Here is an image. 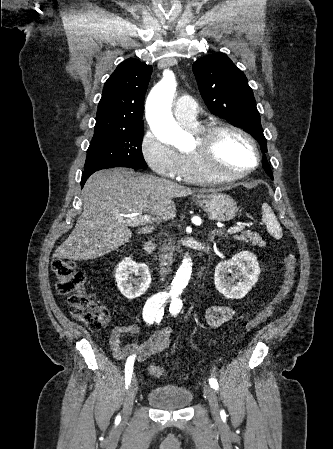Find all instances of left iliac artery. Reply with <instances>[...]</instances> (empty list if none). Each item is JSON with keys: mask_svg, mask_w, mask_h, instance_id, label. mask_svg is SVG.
Instances as JSON below:
<instances>
[{"mask_svg": "<svg viewBox=\"0 0 333 449\" xmlns=\"http://www.w3.org/2000/svg\"><path fill=\"white\" fill-rule=\"evenodd\" d=\"M182 308V302L176 298H173L169 307V311L172 315H177V313L180 311V309ZM209 384L210 386L215 389L218 390V382L214 377H211L209 379ZM223 413V411L221 412Z\"/></svg>", "mask_w": 333, "mask_h": 449, "instance_id": "44dca946", "label": "left iliac artery"}]
</instances>
